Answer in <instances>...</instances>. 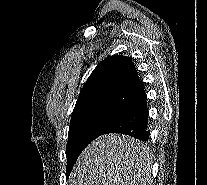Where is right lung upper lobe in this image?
<instances>
[{
    "label": "right lung upper lobe",
    "mask_w": 207,
    "mask_h": 185,
    "mask_svg": "<svg viewBox=\"0 0 207 185\" xmlns=\"http://www.w3.org/2000/svg\"><path fill=\"white\" fill-rule=\"evenodd\" d=\"M145 93L129 57L114 55L93 70L80 91L73 114L97 107L124 111Z\"/></svg>",
    "instance_id": "obj_1"
}]
</instances>
